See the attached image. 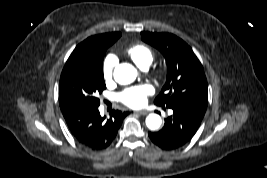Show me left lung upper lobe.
<instances>
[{"mask_svg": "<svg viewBox=\"0 0 267 178\" xmlns=\"http://www.w3.org/2000/svg\"><path fill=\"white\" fill-rule=\"evenodd\" d=\"M142 40L157 48L167 63V80L154 103L180 107L203 119L208 85L202 64L182 39L170 33L141 32Z\"/></svg>", "mask_w": 267, "mask_h": 178, "instance_id": "left-lung-upper-lobe-1", "label": "left lung upper lobe"}]
</instances>
